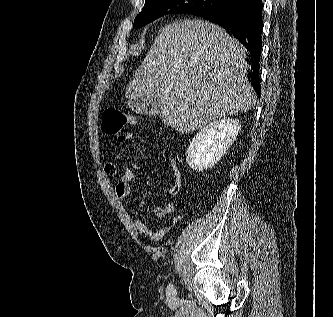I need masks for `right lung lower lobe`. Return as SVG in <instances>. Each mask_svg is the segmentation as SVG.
I'll return each mask as SVG.
<instances>
[{
    "mask_svg": "<svg viewBox=\"0 0 333 317\" xmlns=\"http://www.w3.org/2000/svg\"><path fill=\"white\" fill-rule=\"evenodd\" d=\"M263 4L261 0H232L196 15L219 25L238 39L250 52L251 85L260 97L259 62L262 50L261 34Z\"/></svg>",
    "mask_w": 333,
    "mask_h": 317,
    "instance_id": "obj_1",
    "label": "right lung lower lobe"
}]
</instances>
